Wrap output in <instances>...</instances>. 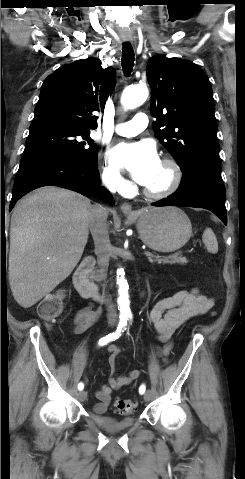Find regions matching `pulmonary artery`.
I'll return each instance as SVG.
<instances>
[{"label":"pulmonary artery","mask_w":245,"mask_h":479,"mask_svg":"<svg viewBox=\"0 0 245 479\" xmlns=\"http://www.w3.org/2000/svg\"><path fill=\"white\" fill-rule=\"evenodd\" d=\"M148 125V117L145 113H136L133 118L125 123H120L115 126V132L122 136H135Z\"/></svg>","instance_id":"obj_1"}]
</instances>
